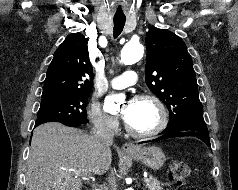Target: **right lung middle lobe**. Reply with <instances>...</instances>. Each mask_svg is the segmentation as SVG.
Wrapping results in <instances>:
<instances>
[{
	"label": "right lung middle lobe",
	"mask_w": 238,
	"mask_h": 190,
	"mask_svg": "<svg viewBox=\"0 0 238 190\" xmlns=\"http://www.w3.org/2000/svg\"><path fill=\"white\" fill-rule=\"evenodd\" d=\"M89 94H60L42 97L35 126L45 122L86 124Z\"/></svg>",
	"instance_id": "right-lung-middle-lobe-1"
}]
</instances>
